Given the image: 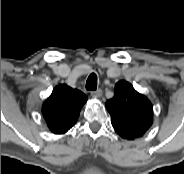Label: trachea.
Masks as SVG:
<instances>
[{
  "label": "trachea",
  "mask_w": 184,
  "mask_h": 174,
  "mask_svg": "<svg viewBox=\"0 0 184 174\" xmlns=\"http://www.w3.org/2000/svg\"><path fill=\"white\" fill-rule=\"evenodd\" d=\"M86 89L94 91L97 89V76L95 73L90 74L86 81Z\"/></svg>",
  "instance_id": "3493384b"
}]
</instances>
